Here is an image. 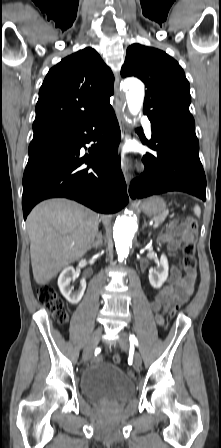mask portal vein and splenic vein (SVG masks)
<instances>
[{"instance_id":"obj_1","label":"portal vein and splenic vein","mask_w":221,"mask_h":448,"mask_svg":"<svg viewBox=\"0 0 221 448\" xmlns=\"http://www.w3.org/2000/svg\"><path fill=\"white\" fill-rule=\"evenodd\" d=\"M150 224L152 225V223H150ZM159 225H160L159 222H155V223L153 224V227H154V228H157V227H159Z\"/></svg>"}]
</instances>
